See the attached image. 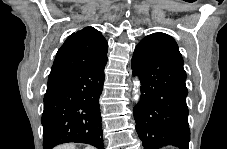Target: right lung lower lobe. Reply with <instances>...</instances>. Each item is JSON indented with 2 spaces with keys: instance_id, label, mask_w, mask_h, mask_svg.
Returning a JSON list of instances; mask_svg holds the SVG:
<instances>
[{
  "instance_id": "1",
  "label": "right lung lower lobe",
  "mask_w": 227,
  "mask_h": 149,
  "mask_svg": "<svg viewBox=\"0 0 227 149\" xmlns=\"http://www.w3.org/2000/svg\"><path fill=\"white\" fill-rule=\"evenodd\" d=\"M106 63L48 83L41 118L43 149L67 142L104 148L99 97Z\"/></svg>"
}]
</instances>
